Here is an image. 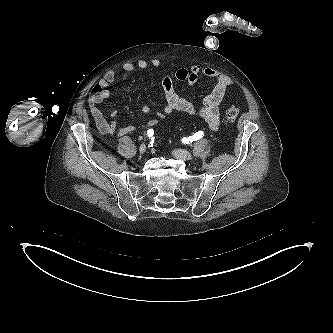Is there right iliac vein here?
I'll return each instance as SVG.
<instances>
[{"label": "right iliac vein", "instance_id": "obj_1", "mask_svg": "<svg viewBox=\"0 0 333 333\" xmlns=\"http://www.w3.org/2000/svg\"><path fill=\"white\" fill-rule=\"evenodd\" d=\"M145 151H146V145H145V144H142V145L139 147V152H140L141 154H143V153H145Z\"/></svg>", "mask_w": 333, "mask_h": 333}]
</instances>
